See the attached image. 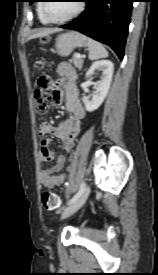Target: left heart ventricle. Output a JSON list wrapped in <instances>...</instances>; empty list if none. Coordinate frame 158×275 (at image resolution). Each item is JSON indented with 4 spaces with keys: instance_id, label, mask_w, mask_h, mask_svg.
<instances>
[{
    "instance_id": "obj_1",
    "label": "left heart ventricle",
    "mask_w": 158,
    "mask_h": 275,
    "mask_svg": "<svg viewBox=\"0 0 158 275\" xmlns=\"http://www.w3.org/2000/svg\"><path fill=\"white\" fill-rule=\"evenodd\" d=\"M78 3L79 1H49L46 13L52 19H63L76 10Z\"/></svg>"
}]
</instances>
